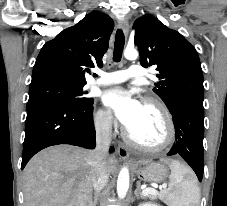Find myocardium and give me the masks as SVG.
<instances>
[{
	"label": "myocardium",
	"instance_id": "obj_1",
	"mask_svg": "<svg viewBox=\"0 0 227 206\" xmlns=\"http://www.w3.org/2000/svg\"><path fill=\"white\" fill-rule=\"evenodd\" d=\"M142 103L155 108L160 113L165 126V136L160 143L155 145H145L139 143L128 130L125 132V137L131 145L141 150L149 152L162 151L168 148L173 143L175 138V125L172 115L166 105L156 98L146 97L142 100Z\"/></svg>",
	"mask_w": 227,
	"mask_h": 206
}]
</instances>
